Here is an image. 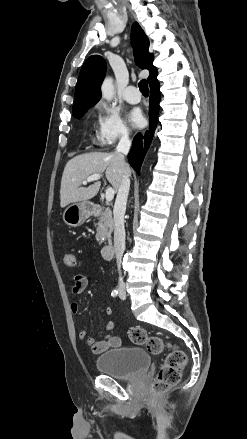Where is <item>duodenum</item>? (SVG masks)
Here are the masks:
<instances>
[{
	"label": "duodenum",
	"instance_id": "duodenum-1",
	"mask_svg": "<svg viewBox=\"0 0 247 439\" xmlns=\"http://www.w3.org/2000/svg\"><path fill=\"white\" fill-rule=\"evenodd\" d=\"M88 211L92 214H97L100 211V207L98 205H90L88 207ZM114 254V246L111 243L104 245L101 249V255L104 259H111Z\"/></svg>",
	"mask_w": 247,
	"mask_h": 439
}]
</instances>
